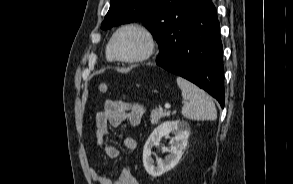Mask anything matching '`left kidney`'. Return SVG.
<instances>
[{"label":"left kidney","mask_w":293,"mask_h":184,"mask_svg":"<svg viewBox=\"0 0 293 184\" xmlns=\"http://www.w3.org/2000/svg\"><path fill=\"white\" fill-rule=\"evenodd\" d=\"M170 133L174 134L170 141L171 147L169 149L162 148V151L169 152V155L165 160L158 159L155 166L154 160L151 158L152 148L160 144L161 137L167 136ZM189 135V124L183 120L167 121L156 127L143 149V165L147 173L152 177H159L173 169L179 163L186 149Z\"/></svg>","instance_id":"obj_1"}]
</instances>
